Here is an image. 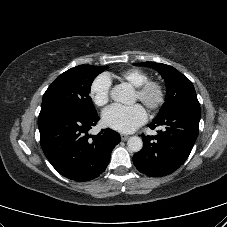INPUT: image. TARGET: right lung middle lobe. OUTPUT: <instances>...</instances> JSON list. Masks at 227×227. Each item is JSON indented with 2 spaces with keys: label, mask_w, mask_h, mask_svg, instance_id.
<instances>
[{
  "label": "right lung middle lobe",
  "mask_w": 227,
  "mask_h": 227,
  "mask_svg": "<svg viewBox=\"0 0 227 227\" xmlns=\"http://www.w3.org/2000/svg\"><path fill=\"white\" fill-rule=\"evenodd\" d=\"M107 68L80 65L62 73L44 93L41 111L66 108L86 116L96 115L89 93L95 77Z\"/></svg>",
  "instance_id": "right-lung-middle-lobe-1"
}]
</instances>
